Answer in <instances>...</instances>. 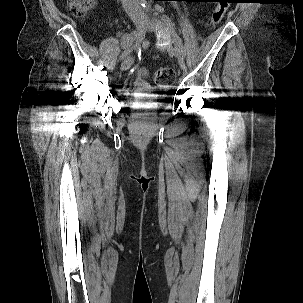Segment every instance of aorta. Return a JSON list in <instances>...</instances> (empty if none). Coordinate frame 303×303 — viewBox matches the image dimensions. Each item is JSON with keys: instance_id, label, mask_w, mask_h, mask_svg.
Instances as JSON below:
<instances>
[{"instance_id": "aorta-1", "label": "aorta", "mask_w": 303, "mask_h": 303, "mask_svg": "<svg viewBox=\"0 0 303 303\" xmlns=\"http://www.w3.org/2000/svg\"><path fill=\"white\" fill-rule=\"evenodd\" d=\"M140 3L145 4L146 0H139Z\"/></svg>"}]
</instances>
